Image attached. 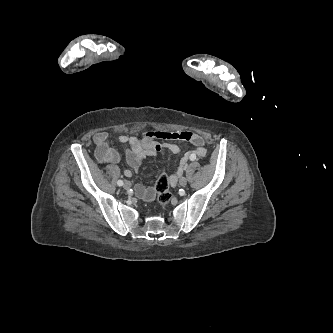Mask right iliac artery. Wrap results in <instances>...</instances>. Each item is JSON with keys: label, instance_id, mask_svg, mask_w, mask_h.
Returning <instances> with one entry per match:
<instances>
[{"label": "right iliac artery", "instance_id": "82829eb1", "mask_svg": "<svg viewBox=\"0 0 333 333\" xmlns=\"http://www.w3.org/2000/svg\"><path fill=\"white\" fill-rule=\"evenodd\" d=\"M117 184H118V186H123V181L122 180H118Z\"/></svg>", "mask_w": 333, "mask_h": 333}]
</instances>
